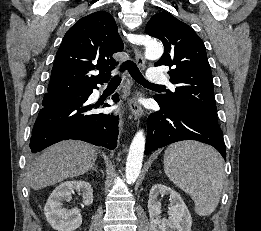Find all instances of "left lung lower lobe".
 I'll return each mask as SVG.
<instances>
[{
  "label": "left lung lower lobe",
  "instance_id": "1",
  "mask_svg": "<svg viewBox=\"0 0 261 231\" xmlns=\"http://www.w3.org/2000/svg\"><path fill=\"white\" fill-rule=\"evenodd\" d=\"M155 100L161 109L148 118L145 154L173 142L197 140L213 146L226 159L223 133L218 124L184 107H167Z\"/></svg>",
  "mask_w": 261,
  "mask_h": 231
}]
</instances>
